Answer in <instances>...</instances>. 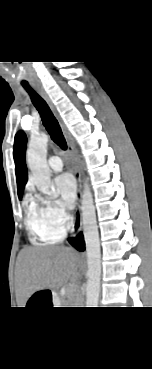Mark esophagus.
<instances>
[{"label":"esophagus","mask_w":152,"mask_h":369,"mask_svg":"<svg viewBox=\"0 0 152 369\" xmlns=\"http://www.w3.org/2000/svg\"><path fill=\"white\" fill-rule=\"evenodd\" d=\"M39 90H40V93H41L42 97L49 104L50 108L52 109L55 117L57 118V120H58V122L61 126V129L63 131V134H64L66 142H67L68 152H69V154L71 156V159H72V162L74 164L75 176H76V179H77V182H78V195H77V207H76V210H75V218H74V222H73L72 229H71V236L75 238L79 234V232L81 231V228H82V214H81V205H80L81 195H82L80 166H79V162H78V158H77V155H76L75 148H74L73 143H72V141L69 137V134H68V131L66 129L65 124L63 123L61 117L57 113L54 105L52 104V102L50 101V99L48 98L46 93L42 89H39Z\"/></svg>","instance_id":"obj_1"}]
</instances>
